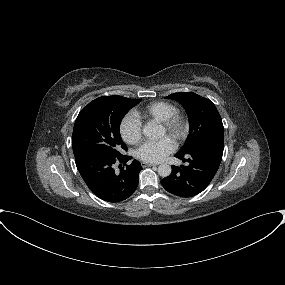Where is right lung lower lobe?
I'll use <instances>...</instances> for the list:
<instances>
[{
  "mask_svg": "<svg viewBox=\"0 0 285 285\" xmlns=\"http://www.w3.org/2000/svg\"><path fill=\"white\" fill-rule=\"evenodd\" d=\"M130 156L110 157L97 153H83L75 156L77 169L89 189L107 202H120L130 197L138 186L139 161L126 162ZM116 162L123 163L119 173L114 170Z\"/></svg>",
  "mask_w": 285,
  "mask_h": 285,
  "instance_id": "98d812e1",
  "label": "right lung lower lobe"
}]
</instances>
